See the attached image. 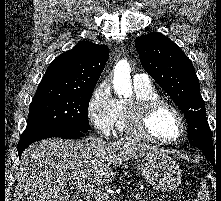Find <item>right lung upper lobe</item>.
Segmentation results:
<instances>
[{
    "label": "right lung upper lobe",
    "mask_w": 221,
    "mask_h": 201,
    "mask_svg": "<svg viewBox=\"0 0 221 201\" xmlns=\"http://www.w3.org/2000/svg\"><path fill=\"white\" fill-rule=\"evenodd\" d=\"M108 57L106 45L79 42L50 64L38 89L74 92L94 90Z\"/></svg>",
    "instance_id": "obj_1"
}]
</instances>
